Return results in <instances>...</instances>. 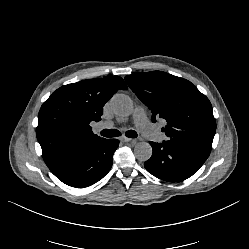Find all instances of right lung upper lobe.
Wrapping results in <instances>:
<instances>
[{"label":"right lung upper lobe","mask_w":249,"mask_h":249,"mask_svg":"<svg viewBox=\"0 0 249 249\" xmlns=\"http://www.w3.org/2000/svg\"><path fill=\"white\" fill-rule=\"evenodd\" d=\"M127 86L119 76L88 79L60 87L43 103L36 136L49 167L74 151L92 146L103 138L90 123L101 120L103 106L118 90Z\"/></svg>","instance_id":"right-lung-upper-lobe-1"}]
</instances>
